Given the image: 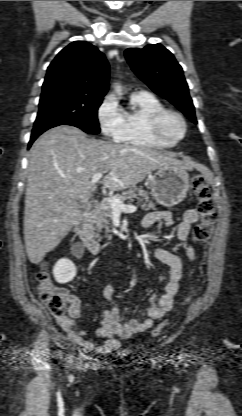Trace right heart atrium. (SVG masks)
Returning a JSON list of instances; mask_svg holds the SVG:
<instances>
[{"label": "right heart atrium", "instance_id": "d8ad5b80", "mask_svg": "<svg viewBox=\"0 0 242 416\" xmlns=\"http://www.w3.org/2000/svg\"><path fill=\"white\" fill-rule=\"evenodd\" d=\"M97 120L102 133L109 138L117 140L124 129L123 111L114 95L104 97L97 109Z\"/></svg>", "mask_w": 242, "mask_h": 416}]
</instances>
